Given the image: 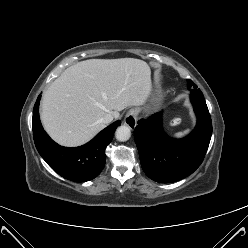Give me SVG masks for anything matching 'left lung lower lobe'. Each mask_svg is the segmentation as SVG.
<instances>
[{
	"label": "left lung lower lobe",
	"instance_id": "obj_1",
	"mask_svg": "<svg viewBox=\"0 0 248 248\" xmlns=\"http://www.w3.org/2000/svg\"><path fill=\"white\" fill-rule=\"evenodd\" d=\"M190 98L197 125L187 137L173 139L166 135L159 113L139 120L135 128L134 138L141 166L156 182L179 181L193 173L204 159L212 134L211 117L199 89H192Z\"/></svg>",
	"mask_w": 248,
	"mask_h": 248
}]
</instances>
